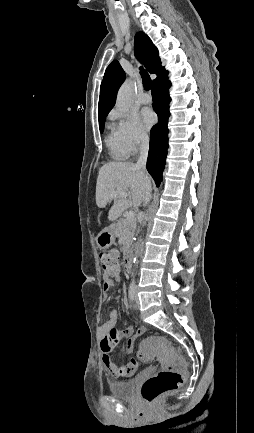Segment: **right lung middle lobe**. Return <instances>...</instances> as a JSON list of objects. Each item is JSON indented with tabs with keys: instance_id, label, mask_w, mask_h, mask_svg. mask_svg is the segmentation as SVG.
<instances>
[{
	"instance_id": "dd1d6c3e",
	"label": "right lung middle lobe",
	"mask_w": 254,
	"mask_h": 433,
	"mask_svg": "<svg viewBox=\"0 0 254 433\" xmlns=\"http://www.w3.org/2000/svg\"><path fill=\"white\" fill-rule=\"evenodd\" d=\"M104 122H105V120L99 122V129H100V132H103V130H104Z\"/></svg>"
}]
</instances>
